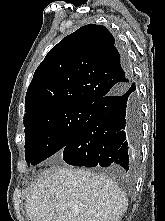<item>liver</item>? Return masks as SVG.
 Here are the masks:
<instances>
[{"label":"liver","instance_id":"obj_1","mask_svg":"<svg viewBox=\"0 0 165 221\" xmlns=\"http://www.w3.org/2000/svg\"><path fill=\"white\" fill-rule=\"evenodd\" d=\"M25 207L31 221H120L128 200L104 175L54 166L40 174Z\"/></svg>","mask_w":165,"mask_h":221}]
</instances>
